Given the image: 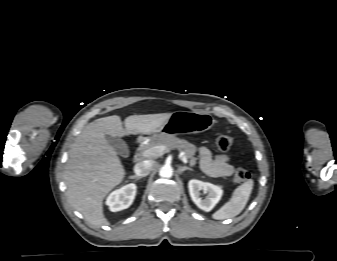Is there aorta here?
Returning a JSON list of instances; mask_svg holds the SVG:
<instances>
[{
	"label": "aorta",
	"instance_id": "762f6f07",
	"mask_svg": "<svg viewBox=\"0 0 337 261\" xmlns=\"http://www.w3.org/2000/svg\"><path fill=\"white\" fill-rule=\"evenodd\" d=\"M159 175L164 178H170L173 175V169L170 165H164L159 171Z\"/></svg>",
	"mask_w": 337,
	"mask_h": 261
}]
</instances>
